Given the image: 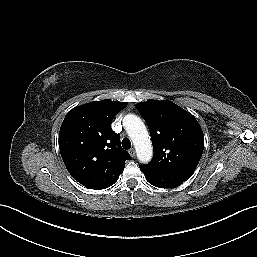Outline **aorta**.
Segmentation results:
<instances>
[{"label": "aorta", "instance_id": "obj_1", "mask_svg": "<svg viewBox=\"0 0 257 257\" xmlns=\"http://www.w3.org/2000/svg\"><path fill=\"white\" fill-rule=\"evenodd\" d=\"M124 126L132 140L140 162L147 163L152 159L153 149L148 131L143 121L133 114L124 117Z\"/></svg>", "mask_w": 257, "mask_h": 257}]
</instances>
